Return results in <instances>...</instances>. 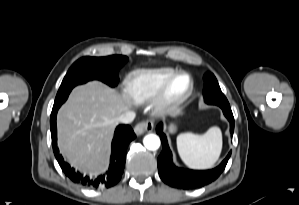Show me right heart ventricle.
Segmentation results:
<instances>
[{"mask_svg":"<svg viewBox=\"0 0 299 205\" xmlns=\"http://www.w3.org/2000/svg\"><path fill=\"white\" fill-rule=\"evenodd\" d=\"M172 68L139 69L131 72L123 84V95L131 103L144 104L152 100L161 86L173 75Z\"/></svg>","mask_w":299,"mask_h":205,"instance_id":"obj_1","label":"right heart ventricle"}]
</instances>
